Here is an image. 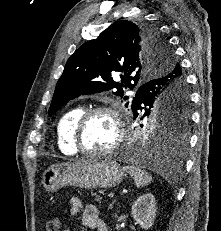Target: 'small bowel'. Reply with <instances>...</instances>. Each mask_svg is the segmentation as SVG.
I'll use <instances>...</instances> for the list:
<instances>
[{
	"label": "small bowel",
	"mask_w": 221,
	"mask_h": 231,
	"mask_svg": "<svg viewBox=\"0 0 221 231\" xmlns=\"http://www.w3.org/2000/svg\"><path fill=\"white\" fill-rule=\"evenodd\" d=\"M70 214L77 215L83 208L82 201L78 197H73L69 202ZM83 224L94 231H108L107 225L99 216L98 208L93 204H88L84 207L83 211ZM64 231H71L66 228Z\"/></svg>",
	"instance_id": "c3829d8e"
}]
</instances>
